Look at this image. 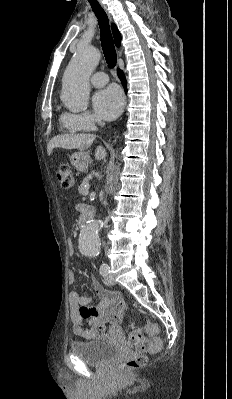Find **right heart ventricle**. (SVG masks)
Returning a JSON list of instances; mask_svg holds the SVG:
<instances>
[{"instance_id": "1", "label": "right heart ventricle", "mask_w": 232, "mask_h": 399, "mask_svg": "<svg viewBox=\"0 0 232 399\" xmlns=\"http://www.w3.org/2000/svg\"><path fill=\"white\" fill-rule=\"evenodd\" d=\"M59 130L62 133L70 136H78L81 135L84 131H86L76 121L68 118L65 115L60 117Z\"/></svg>"}]
</instances>
